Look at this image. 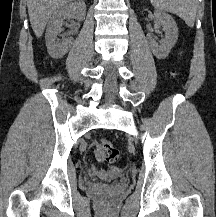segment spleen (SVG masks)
<instances>
[{"label": "spleen", "mask_w": 216, "mask_h": 217, "mask_svg": "<svg viewBox=\"0 0 216 217\" xmlns=\"http://www.w3.org/2000/svg\"><path fill=\"white\" fill-rule=\"evenodd\" d=\"M156 9L173 13L185 21L189 27L194 26L198 0H150Z\"/></svg>", "instance_id": "obj_1"}]
</instances>
